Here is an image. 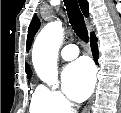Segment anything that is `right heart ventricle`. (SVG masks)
<instances>
[{"label":"right heart ventricle","mask_w":121,"mask_h":113,"mask_svg":"<svg viewBox=\"0 0 121 113\" xmlns=\"http://www.w3.org/2000/svg\"><path fill=\"white\" fill-rule=\"evenodd\" d=\"M29 113H52L50 104L43 97L40 87L31 95L29 101Z\"/></svg>","instance_id":"1"}]
</instances>
